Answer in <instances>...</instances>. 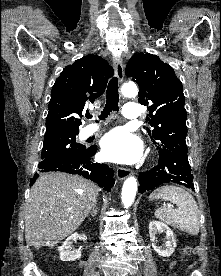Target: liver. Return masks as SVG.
Instances as JSON below:
<instances>
[{
    "label": "liver",
    "instance_id": "obj_1",
    "mask_svg": "<svg viewBox=\"0 0 221 276\" xmlns=\"http://www.w3.org/2000/svg\"><path fill=\"white\" fill-rule=\"evenodd\" d=\"M99 189L67 173H44L32 186L25 209V240L40 249L77 230L93 208Z\"/></svg>",
    "mask_w": 221,
    "mask_h": 276
}]
</instances>
